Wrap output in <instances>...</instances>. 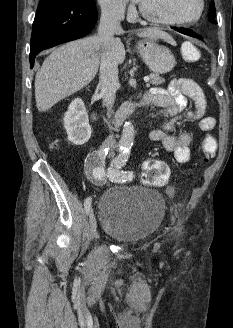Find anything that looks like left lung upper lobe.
<instances>
[{"label":"left lung upper lobe","instance_id":"5c2ea615","mask_svg":"<svg viewBox=\"0 0 233 328\" xmlns=\"http://www.w3.org/2000/svg\"><path fill=\"white\" fill-rule=\"evenodd\" d=\"M215 12H216V9H215V5H214V1H212L210 3V5H209V20L213 24H216V21H215Z\"/></svg>","mask_w":233,"mask_h":328}]
</instances>
